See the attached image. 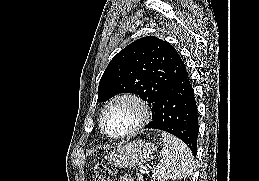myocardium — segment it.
I'll return each mask as SVG.
<instances>
[{"mask_svg": "<svg viewBox=\"0 0 259 181\" xmlns=\"http://www.w3.org/2000/svg\"><path fill=\"white\" fill-rule=\"evenodd\" d=\"M120 102H129L131 104H133L137 111H138V120L135 123V125L130 128L129 130H127L124 133L121 134H112L110 133L105 125V118L107 115L108 110L114 106L117 103ZM150 119V111H149V107L146 104V102L137 94L134 93H121L118 94L116 96H114L113 98H111L106 105L104 106V108L102 109V112L100 114V127L101 130L109 137L114 138V139H123V138H127L130 136H133L134 134H136L139 130H141L149 121Z\"/></svg>", "mask_w": 259, "mask_h": 181, "instance_id": "1", "label": "myocardium"}]
</instances>
